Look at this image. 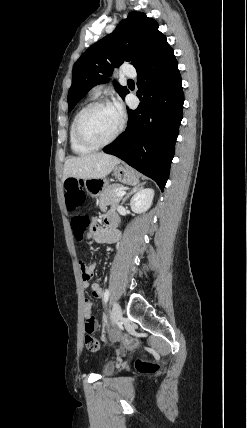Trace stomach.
Masks as SVG:
<instances>
[{"instance_id":"obj_1","label":"stomach","mask_w":247,"mask_h":428,"mask_svg":"<svg viewBox=\"0 0 247 428\" xmlns=\"http://www.w3.org/2000/svg\"><path fill=\"white\" fill-rule=\"evenodd\" d=\"M115 178L124 184L132 185L139 182V179L133 169L128 166L116 165L113 169ZM84 186L87 192L92 197L100 195L102 190L108 186V181L105 178L102 179H87L84 180Z\"/></svg>"}]
</instances>
